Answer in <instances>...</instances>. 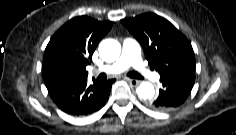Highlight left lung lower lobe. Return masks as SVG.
Listing matches in <instances>:
<instances>
[{
  "label": "left lung lower lobe",
  "instance_id": "1",
  "mask_svg": "<svg viewBox=\"0 0 236 135\" xmlns=\"http://www.w3.org/2000/svg\"><path fill=\"white\" fill-rule=\"evenodd\" d=\"M194 81L195 75L162 76L160 78L162 87L159 90V96L151 103V107L155 110L168 111L180 106L189 96Z\"/></svg>",
  "mask_w": 236,
  "mask_h": 135
}]
</instances>
